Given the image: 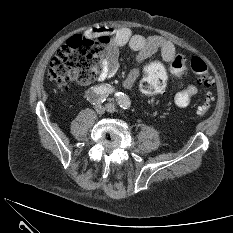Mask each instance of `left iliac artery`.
I'll return each instance as SVG.
<instances>
[{"label":"left iliac artery","instance_id":"1","mask_svg":"<svg viewBox=\"0 0 233 233\" xmlns=\"http://www.w3.org/2000/svg\"><path fill=\"white\" fill-rule=\"evenodd\" d=\"M115 96L117 97V102L123 109H128L130 107L129 98L122 92H116Z\"/></svg>","mask_w":233,"mask_h":233}]
</instances>
